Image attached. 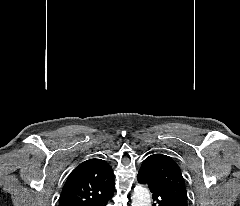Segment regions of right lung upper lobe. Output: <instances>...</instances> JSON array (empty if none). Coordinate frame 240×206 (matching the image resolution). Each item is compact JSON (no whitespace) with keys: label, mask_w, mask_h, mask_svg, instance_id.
<instances>
[{"label":"right lung upper lobe","mask_w":240,"mask_h":206,"mask_svg":"<svg viewBox=\"0 0 240 206\" xmlns=\"http://www.w3.org/2000/svg\"><path fill=\"white\" fill-rule=\"evenodd\" d=\"M113 192L114 174L110 165L102 159H89L69 175L59 206H92Z\"/></svg>","instance_id":"obj_1"}]
</instances>
